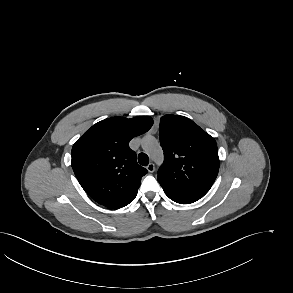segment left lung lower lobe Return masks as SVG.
<instances>
[{
	"instance_id": "1",
	"label": "left lung lower lobe",
	"mask_w": 293,
	"mask_h": 293,
	"mask_svg": "<svg viewBox=\"0 0 293 293\" xmlns=\"http://www.w3.org/2000/svg\"><path fill=\"white\" fill-rule=\"evenodd\" d=\"M170 199H172L173 201L180 203V204H190L193 203L197 200L192 199V198H187V197H174V196H169L167 195Z\"/></svg>"
}]
</instances>
